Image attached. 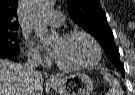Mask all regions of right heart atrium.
Segmentation results:
<instances>
[{
	"instance_id": "1",
	"label": "right heart atrium",
	"mask_w": 135,
	"mask_h": 95,
	"mask_svg": "<svg viewBox=\"0 0 135 95\" xmlns=\"http://www.w3.org/2000/svg\"><path fill=\"white\" fill-rule=\"evenodd\" d=\"M27 55L30 58H40L39 51L36 48L32 47V46H28Z\"/></svg>"
}]
</instances>
